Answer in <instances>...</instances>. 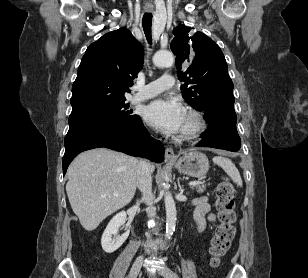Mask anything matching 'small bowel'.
I'll use <instances>...</instances> for the list:
<instances>
[{
    "mask_svg": "<svg viewBox=\"0 0 308 278\" xmlns=\"http://www.w3.org/2000/svg\"><path fill=\"white\" fill-rule=\"evenodd\" d=\"M194 219L198 229L202 232L206 228L207 222H214L215 215L210 212V204L206 197H199L194 200Z\"/></svg>",
    "mask_w": 308,
    "mask_h": 278,
    "instance_id": "small-bowel-1",
    "label": "small bowel"
}]
</instances>
